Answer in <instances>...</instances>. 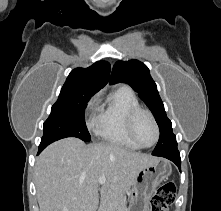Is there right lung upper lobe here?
I'll return each instance as SVG.
<instances>
[{
  "instance_id": "1",
  "label": "right lung upper lobe",
  "mask_w": 221,
  "mask_h": 211,
  "mask_svg": "<svg viewBox=\"0 0 221 211\" xmlns=\"http://www.w3.org/2000/svg\"><path fill=\"white\" fill-rule=\"evenodd\" d=\"M110 64L98 61L92 66L71 71L58 99H70L83 95H94L109 81Z\"/></svg>"
}]
</instances>
